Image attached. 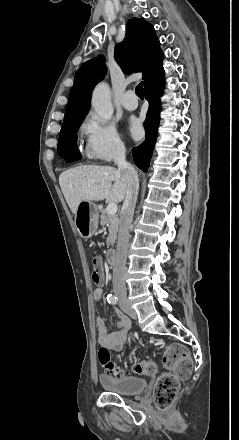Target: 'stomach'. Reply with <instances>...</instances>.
I'll return each instance as SVG.
<instances>
[{
	"label": "stomach",
	"mask_w": 239,
	"mask_h": 440,
	"mask_svg": "<svg viewBox=\"0 0 239 440\" xmlns=\"http://www.w3.org/2000/svg\"><path fill=\"white\" fill-rule=\"evenodd\" d=\"M99 212L96 204L80 202L75 214V228L82 238H92L98 228Z\"/></svg>",
	"instance_id": "1"
}]
</instances>
